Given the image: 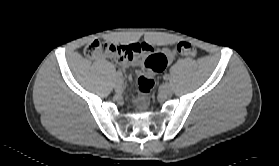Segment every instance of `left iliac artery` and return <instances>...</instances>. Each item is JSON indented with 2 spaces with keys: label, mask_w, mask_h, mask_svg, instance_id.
Listing matches in <instances>:
<instances>
[{
  "label": "left iliac artery",
  "mask_w": 279,
  "mask_h": 166,
  "mask_svg": "<svg viewBox=\"0 0 279 166\" xmlns=\"http://www.w3.org/2000/svg\"><path fill=\"white\" fill-rule=\"evenodd\" d=\"M163 78H164V80H168L169 79V75L165 74Z\"/></svg>",
  "instance_id": "obj_1"
}]
</instances>
